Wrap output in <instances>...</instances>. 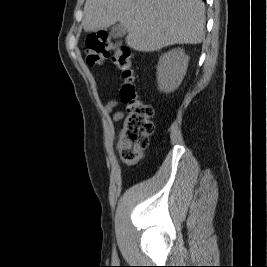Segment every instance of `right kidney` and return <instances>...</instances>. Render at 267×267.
<instances>
[{
  "label": "right kidney",
  "mask_w": 267,
  "mask_h": 267,
  "mask_svg": "<svg viewBox=\"0 0 267 267\" xmlns=\"http://www.w3.org/2000/svg\"><path fill=\"white\" fill-rule=\"evenodd\" d=\"M188 61L189 57L183 49H172L164 53L157 67L158 89L166 93L177 89L186 74Z\"/></svg>",
  "instance_id": "obj_1"
}]
</instances>
